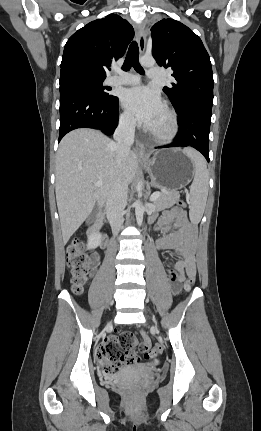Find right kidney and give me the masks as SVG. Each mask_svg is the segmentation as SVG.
<instances>
[{"label":"right kidney","mask_w":261,"mask_h":431,"mask_svg":"<svg viewBox=\"0 0 261 431\" xmlns=\"http://www.w3.org/2000/svg\"><path fill=\"white\" fill-rule=\"evenodd\" d=\"M101 234L98 232H92L89 236H88V244L87 247L88 249H95L99 246L100 242H101Z\"/></svg>","instance_id":"1"}]
</instances>
